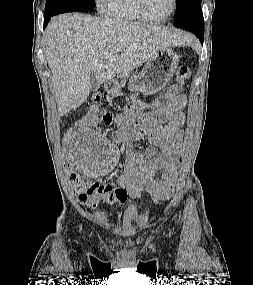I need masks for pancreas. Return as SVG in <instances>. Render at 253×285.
<instances>
[{"label": "pancreas", "instance_id": "cf45deb5", "mask_svg": "<svg viewBox=\"0 0 253 285\" xmlns=\"http://www.w3.org/2000/svg\"><path fill=\"white\" fill-rule=\"evenodd\" d=\"M125 84H126V79L124 78L123 80H121V82L119 83V85H120L121 87H124Z\"/></svg>", "mask_w": 253, "mask_h": 285}]
</instances>
